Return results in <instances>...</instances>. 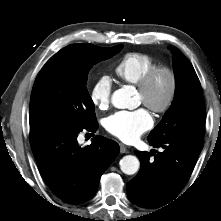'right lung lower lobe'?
Returning <instances> with one entry per match:
<instances>
[{
    "instance_id": "98d812e1",
    "label": "right lung lower lobe",
    "mask_w": 221,
    "mask_h": 221,
    "mask_svg": "<svg viewBox=\"0 0 221 221\" xmlns=\"http://www.w3.org/2000/svg\"><path fill=\"white\" fill-rule=\"evenodd\" d=\"M96 132L98 123L86 128L44 124L30 129L32 151L50 189L63 201L79 204L91 199L101 175L119 152V145L95 136L84 148L77 142L83 130Z\"/></svg>"
}]
</instances>
